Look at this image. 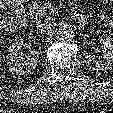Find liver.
<instances>
[{
  "mask_svg": "<svg viewBox=\"0 0 113 113\" xmlns=\"http://www.w3.org/2000/svg\"><path fill=\"white\" fill-rule=\"evenodd\" d=\"M0 12H1V10H0ZM0 18H1V16H0ZM3 28H5V22H4V20H0V32H1V30L3 29ZM2 57H1V52H0V59H1Z\"/></svg>",
  "mask_w": 113,
  "mask_h": 113,
  "instance_id": "liver-1",
  "label": "liver"
}]
</instances>
